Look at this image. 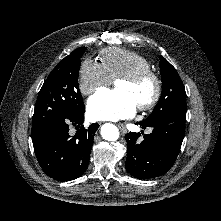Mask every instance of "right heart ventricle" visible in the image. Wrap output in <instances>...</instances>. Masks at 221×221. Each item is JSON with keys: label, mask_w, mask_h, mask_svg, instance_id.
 <instances>
[{"label": "right heart ventricle", "mask_w": 221, "mask_h": 221, "mask_svg": "<svg viewBox=\"0 0 221 221\" xmlns=\"http://www.w3.org/2000/svg\"><path fill=\"white\" fill-rule=\"evenodd\" d=\"M101 64L113 80L142 69H151L143 55L125 48H106L100 53Z\"/></svg>", "instance_id": "obj_1"}]
</instances>
